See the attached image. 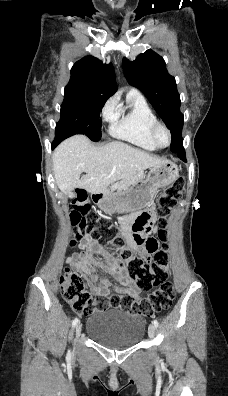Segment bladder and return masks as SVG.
Masks as SVG:
<instances>
[{"label": "bladder", "instance_id": "1", "mask_svg": "<svg viewBox=\"0 0 228 396\" xmlns=\"http://www.w3.org/2000/svg\"><path fill=\"white\" fill-rule=\"evenodd\" d=\"M145 320L136 313L109 309L92 314L86 324L87 335L111 349L137 345L145 335Z\"/></svg>", "mask_w": 228, "mask_h": 396}]
</instances>
